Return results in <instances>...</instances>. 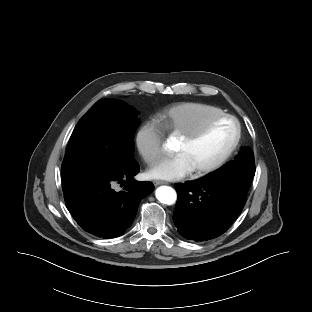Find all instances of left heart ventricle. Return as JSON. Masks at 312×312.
<instances>
[{
    "label": "left heart ventricle",
    "mask_w": 312,
    "mask_h": 312,
    "mask_svg": "<svg viewBox=\"0 0 312 312\" xmlns=\"http://www.w3.org/2000/svg\"><path fill=\"white\" fill-rule=\"evenodd\" d=\"M237 133L236 125L228 119L214 123L195 142L180 139L176 152L185 154L194 170L203 168L219 159L231 146Z\"/></svg>",
    "instance_id": "b2bd125f"
}]
</instances>
